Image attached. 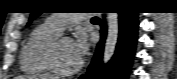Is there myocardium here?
Listing matches in <instances>:
<instances>
[{"mask_svg":"<svg viewBox=\"0 0 177 79\" xmlns=\"http://www.w3.org/2000/svg\"><path fill=\"white\" fill-rule=\"evenodd\" d=\"M70 39L69 37H57L54 39L47 47L46 52H45V61L48 66V68L55 74L61 75V76H71L79 72L83 66V61L80 60L79 64L69 70L62 69L58 63V58H57V49L59 44L63 39Z\"/></svg>","mask_w":177,"mask_h":79,"instance_id":"myocardium-1","label":"myocardium"}]
</instances>
